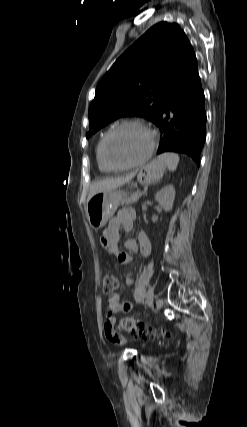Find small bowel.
<instances>
[{
	"mask_svg": "<svg viewBox=\"0 0 247 427\" xmlns=\"http://www.w3.org/2000/svg\"><path fill=\"white\" fill-rule=\"evenodd\" d=\"M135 225V212L132 209L125 208L118 212L109 222L107 229L102 238V245L109 253L115 255L117 262L125 266L131 260L132 256L119 249V243L122 240L121 231H131ZM125 248L130 253H141L144 257H149L151 254V243L147 235L143 231L138 232L137 239H127L124 241ZM126 285L130 286L134 283V277L131 273H127L125 277ZM133 309V305L127 301H121L118 294H112L108 299V313L104 321V333L106 338L114 344H124L125 338L115 329L116 314L129 312Z\"/></svg>",
	"mask_w": 247,
	"mask_h": 427,
	"instance_id": "obj_1",
	"label": "small bowel"
}]
</instances>
